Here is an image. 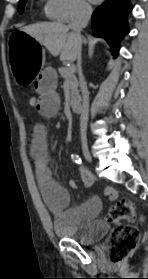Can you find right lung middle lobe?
I'll use <instances>...</instances> for the list:
<instances>
[{"instance_id":"dd1d6c3e","label":"right lung middle lobe","mask_w":148,"mask_h":279,"mask_svg":"<svg viewBox=\"0 0 148 279\" xmlns=\"http://www.w3.org/2000/svg\"><path fill=\"white\" fill-rule=\"evenodd\" d=\"M26 1L27 0H20L19 1V4H18V11H19V13H22Z\"/></svg>"}]
</instances>
